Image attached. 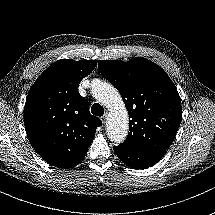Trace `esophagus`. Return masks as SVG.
<instances>
[{"label":"esophagus","instance_id":"esophagus-1","mask_svg":"<svg viewBox=\"0 0 215 215\" xmlns=\"http://www.w3.org/2000/svg\"><path fill=\"white\" fill-rule=\"evenodd\" d=\"M106 119H107V114L105 113L102 117H101V121L103 124L106 123Z\"/></svg>","mask_w":215,"mask_h":215}]
</instances>
